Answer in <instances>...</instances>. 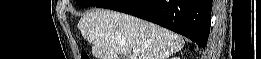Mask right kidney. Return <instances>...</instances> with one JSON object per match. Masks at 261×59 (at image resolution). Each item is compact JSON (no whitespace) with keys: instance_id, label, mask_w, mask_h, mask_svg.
I'll list each match as a JSON object with an SVG mask.
<instances>
[{"instance_id":"1","label":"right kidney","mask_w":261,"mask_h":59,"mask_svg":"<svg viewBox=\"0 0 261 59\" xmlns=\"http://www.w3.org/2000/svg\"><path fill=\"white\" fill-rule=\"evenodd\" d=\"M172 59H177L176 57H173Z\"/></svg>"}]
</instances>
